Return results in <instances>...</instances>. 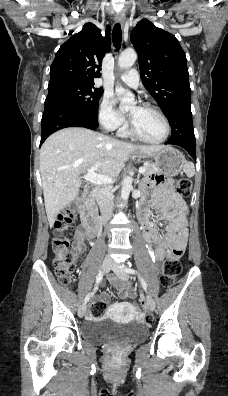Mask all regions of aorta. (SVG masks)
Returning <instances> with one entry per match:
<instances>
[{"label":"aorta","mask_w":228,"mask_h":396,"mask_svg":"<svg viewBox=\"0 0 228 396\" xmlns=\"http://www.w3.org/2000/svg\"><path fill=\"white\" fill-rule=\"evenodd\" d=\"M137 60V53L134 50H126L119 56L118 65L121 69L130 68ZM116 94L120 99V104L123 108L128 109L134 103V95L124 89L122 86L117 85L115 88ZM133 179L126 176L122 182L121 198L124 201L128 200L130 191L132 189Z\"/></svg>","instance_id":"762f6f07"}]
</instances>
